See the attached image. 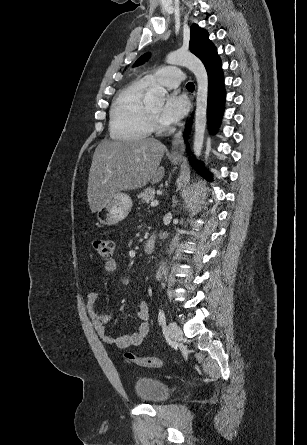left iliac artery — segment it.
<instances>
[{"instance_id": "left-iliac-artery-1", "label": "left iliac artery", "mask_w": 307, "mask_h": 445, "mask_svg": "<svg viewBox=\"0 0 307 445\" xmlns=\"http://www.w3.org/2000/svg\"><path fill=\"white\" fill-rule=\"evenodd\" d=\"M158 322L160 325H164L166 322V316L162 309H160L158 313Z\"/></svg>"}]
</instances>
